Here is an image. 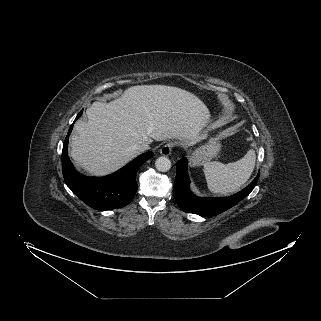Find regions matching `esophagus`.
<instances>
[{
  "label": "esophagus",
  "instance_id": "34e87169",
  "mask_svg": "<svg viewBox=\"0 0 321 321\" xmlns=\"http://www.w3.org/2000/svg\"><path fill=\"white\" fill-rule=\"evenodd\" d=\"M173 147H174L173 143H167L160 149V153L164 156H168L171 154Z\"/></svg>",
  "mask_w": 321,
  "mask_h": 321
}]
</instances>
